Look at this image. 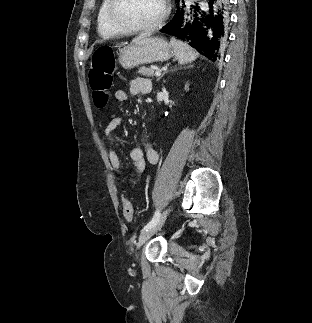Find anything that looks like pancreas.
I'll return each instance as SVG.
<instances>
[{
	"label": "pancreas",
	"instance_id": "cf45deb5",
	"mask_svg": "<svg viewBox=\"0 0 312 323\" xmlns=\"http://www.w3.org/2000/svg\"><path fill=\"white\" fill-rule=\"evenodd\" d=\"M154 72L155 70H151V68H145V66H142V68H138V74H142V76H149V78H153Z\"/></svg>",
	"mask_w": 312,
	"mask_h": 323
}]
</instances>
